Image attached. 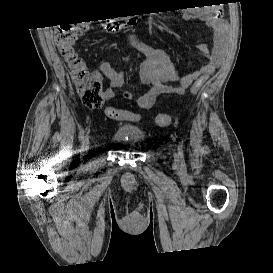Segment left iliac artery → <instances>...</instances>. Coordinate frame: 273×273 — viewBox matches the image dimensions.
<instances>
[{
    "mask_svg": "<svg viewBox=\"0 0 273 273\" xmlns=\"http://www.w3.org/2000/svg\"><path fill=\"white\" fill-rule=\"evenodd\" d=\"M178 154H179V156L181 158L183 157V144H182V142H179V145H178Z\"/></svg>",
    "mask_w": 273,
    "mask_h": 273,
    "instance_id": "44dca946",
    "label": "left iliac artery"
}]
</instances>
